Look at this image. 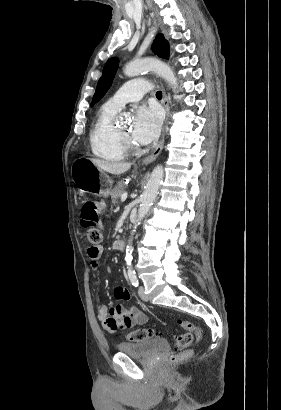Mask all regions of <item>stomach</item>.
Listing matches in <instances>:
<instances>
[{
  "mask_svg": "<svg viewBox=\"0 0 281 410\" xmlns=\"http://www.w3.org/2000/svg\"><path fill=\"white\" fill-rule=\"evenodd\" d=\"M71 175L81 191L98 193L105 198L110 194L112 181L90 158L76 159L71 167Z\"/></svg>",
  "mask_w": 281,
  "mask_h": 410,
  "instance_id": "1",
  "label": "stomach"
}]
</instances>
